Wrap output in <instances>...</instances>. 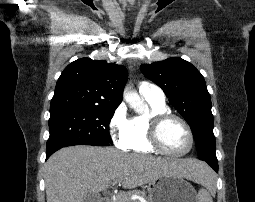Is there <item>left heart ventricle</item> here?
Instances as JSON below:
<instances>
[{
	"label": "left heart ventricle",
	"instance_id": "1",
	"mask_svg": "<svg viewBox=\"0 0 255 202\" xmlns=\"http://www.w3.org/2000/svg\"><path fill=\"white\" fill-rule=\"evenodd\" d=\"M160 138L163 146L172 152H182L189 145L186 129L176 120L168 121L163 125Z\"/></svg>",
	"mask_w": 255,
	"mask_h": 202
}]
</instances>
